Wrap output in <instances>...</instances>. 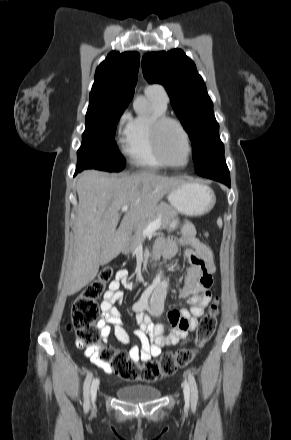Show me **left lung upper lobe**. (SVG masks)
Here are the masks:
<instances>
[{"instance_id": "left-lung-upper-lobe-1", "label": "left lung upper lobe", "mask_w": 291, "mask_h": 440, "mask_svg": "<svg viewBox=\"0 0 291 440\" xmlns=\"http://www.w3.org/2000/svg\"><path fill=\"white\" fill-rule=\"evenodd\" d=\"M145 79L162 84L171 105L191 138L195 171L224 155L213 103L194 62L181 49L150 52L142 59Z\"/></svg>"}]
</instances>
